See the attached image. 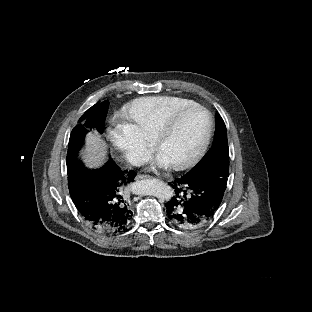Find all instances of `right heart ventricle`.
<instances>
[{"label": "right heart ventricle", "instance_id": "e07e8e85", "mask_svg": "<svg viewBox=\"0 0 312 312\" xmlns=\"http://www.w3.org/2000/svg\"><path fill=\"white\" fill-rule=\"evenodd\" d=\"M194 103V97L188 93L176 96L142 93L128 99L125 108L136 136L152 145L158 141L159 131L165 129L174 117L191 109Z\"/></svg>", "mask_w": 312, "mask_h": 312}]
</instances>
